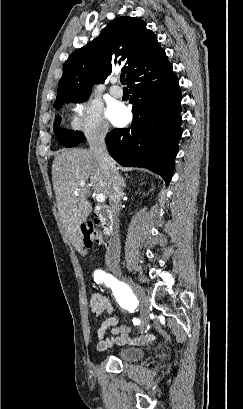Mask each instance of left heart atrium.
<instances>
[{
	"label": "left heart atrium",
	"mask_w": 243,
	"mask_h": 409,
	"mask_svg": "<svg viewBox=\"0 0 243 409\" xmlns=\"http://www.w3.org/2000/svg\"><path fill=\"white\" fill-rule=\"evenodd\" d=\"M107 115L109 120L116 126H122L129 120L127 109L119 104L111 106Z\"/></svg>",
	"instance_id": "39dd6f15"
}]
</instances>
